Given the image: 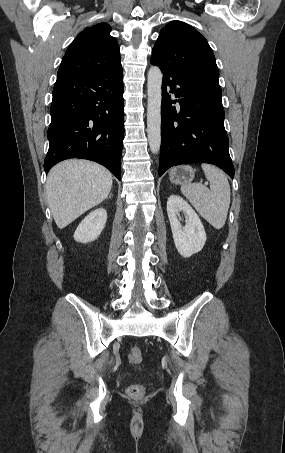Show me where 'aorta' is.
<instances>
[{"instance_id":"aorta-1","label":"aorta","mask_w":285,"mask_h":453,"mask_svg":"<svg viewBox=\"0 0 285 453\" xmlns=\"http://www.w3.org/2000/svg\"><path fill=\"white\" fill-rule=\"evenodd\" d=\"M161 70L152 66L148 71V106H147V135L150 150L157 154L161 145V100H162Z\"/></svg>"}]
</instances>
